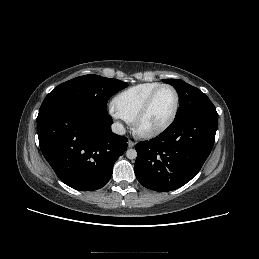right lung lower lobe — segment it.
Wrapping results in <instances>:
<instances>
[{
	"label": "right lung lower lobe",
	"mask_w": 259,
	"mask_h": 259,
	"mask_svg": "<svg viewBox=\"0 0 259 259\" xmlns=\"http://www.w3.org/2000/svg\"><path fill=\"white\" fill-rule=\"evenodd\" d=\"M112 118L80 105H61L37 117L41 151L58 178L80 191L102 188L128 139L111 131Z\"/></svg>",
	"instance_id": "right-lung-lower-lobe-1"
}]
</instances>
